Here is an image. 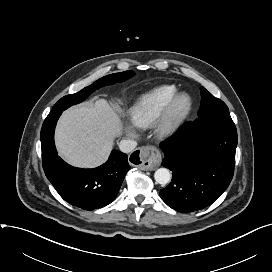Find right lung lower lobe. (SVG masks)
I'll use <instances>...</instances> for the list:
<instances>
[{"instance_id":"1","label":"right lung lower lobe","mask_w":272,"mask_h":272,"mask_svg":"<svg viewBox=\"0 0 272 272\" xmlns=\"http://www.w3.org/2000/svg\"><path fill=\"white\" fill-rule=\"evenodd\" d=\"M61 113H50L41 129L45 175L59 195L71 205L85 210L102 208L115 199L130 169L127 155L113 150L106 163L93 169L68 165L58 156L54 144V130Z\"/></svg>"}]
</instances>
